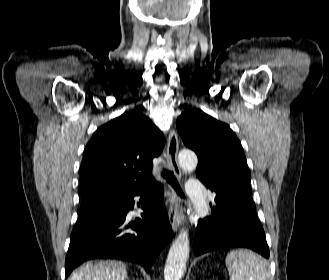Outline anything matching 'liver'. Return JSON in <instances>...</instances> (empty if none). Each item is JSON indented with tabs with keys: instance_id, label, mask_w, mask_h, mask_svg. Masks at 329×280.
Segmentation results:
<instances>
[{
	"instance_id": "6515ba94",
	"label": "liver",
	"mask_w": 329,
	"mask_h": 280,
	"mask_svg": "<svg viewBox=\"0 0 329 280\" xmlns=\"http://www.w3.org/2000/svg\"><path fill=\"white\" fill-rule=\"evenodd\" d=\"M127 267L118 261L86 263L76 270L68 280H126Z\"/></svg>"
}]
</instances>
